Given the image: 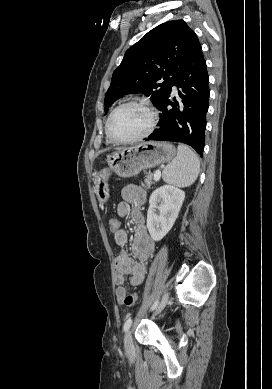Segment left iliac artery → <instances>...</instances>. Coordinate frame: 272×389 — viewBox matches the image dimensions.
<instances>
[{"label":"left iliac artery","instance_id":"obj_1","mask_svg":"<svg viewBox=\"0 0 272 389\" xmlns=\"http://www.w3.org/2000/svg\"><path fill=\"white\" fill-rule=\"evenodd\" d=\"M158 305V300L154 303V305L152 306L151 310H154L156 309ZM132 324V319L131 318H128L125 323H124V326H123V330L126 332L129 330L130 326Z\"/></svg>","mask_w":272,"mask_h":389}]
</instances>
